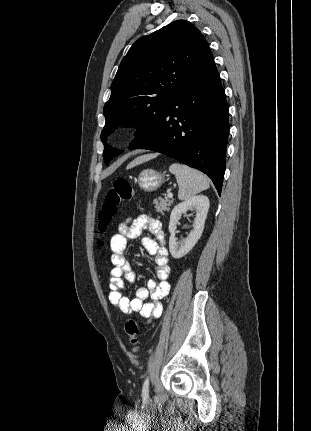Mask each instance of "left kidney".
I'll return each mask as SVG.
<instances>
[{
  "instance_id": "obj_1",
  "label": "left kidney",
  "mask_w": 311,
  "mask_h": 431,
  "mask_svg": "<svg viewBox=\"0 0 311 431\" xmlns=\"http://www.w3.org/2000/svg\"><path fill=\"white\" fill-rule=\"evenodd\" d=\"M195 212L193 229H191L189 235L182 239V241H177L175 237V231L177 229V221L180 219L182 214H186V212ZM209 210V200L207 196H193V198H189V200H185V202H181L178 206H175L171 212L170 221L168 225V229L171 233L169 237V249L171 255L175 257V259H179V257H183L186 255L192 247H194L196 241L200 239L201 233L204 229V223L206 216Z\"/></svg>"
}]
</instances>
